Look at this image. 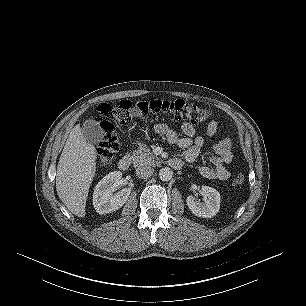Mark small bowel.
Masks as SVG:
<instances>
[{
	"label": "small bowel",
	"mask_w": 306,
	"mask_h": 306,
	"mask_svg": "<svg viewBox=\"0 0 306 306\" xmlns=\"http://www.w3.org/2000/svg\"><path fill=\"white\" fill-rule=\"evenodd\" d=\"M220 128V123L211 121L207 124L205 130L206 137H212ZM181 130L184 136L178 135L175 131L167 128L164 125L157 127V132L165 136L167 140L178 148L184 150L183 156L187 162H193L200 153V148L205 143L204 136H195V128L193 125L183 123ZM213 155L209 158L211 166H202L199 168V173L202 177L210 180H227L230 177V172L227 169V164L233 160L232 141L229 138H224L212 146ZM181 162L179 158H173Z\"/></svg>",
	"instance_id": "small-bowel-1"
}]
</instances>
